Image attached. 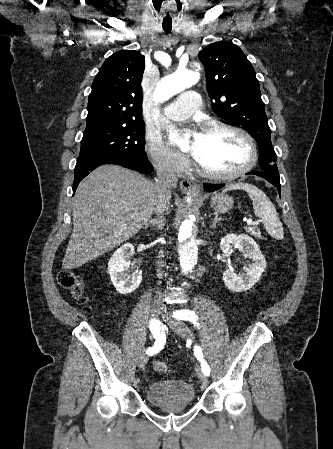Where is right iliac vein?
<instances>
[{"label": "right iliac vein", "instance_id": "1", "mask_svg": "<svg viewBox=\"0 0 333 449\" xmlns=\"http://www.w3.org/2000/svg\"><path fill=\"white\" fill-rule=\"evenodd\" d=\"M163 307L160 303L155 302L151 307V314L154 319H157L159 315L162 313ZM148 355L146 353L140 354L138 358V367L142 368L147 363Z\"/></svg>", "mask_w": 333, "mask_h": 449}]
</instances>
